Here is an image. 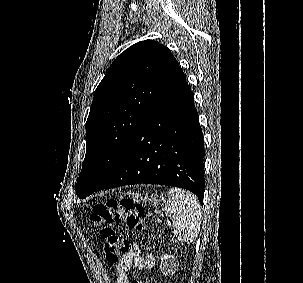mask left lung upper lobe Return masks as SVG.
I'll return each mask as SVG.
<instances>
[{
    "label": "left lung upper lobe",
    "mask_w": 303,
    "mask_h": 283,
    "mask_svg": "<svg viewBox=\"0 0 303 283\" xmlns=\"http://www.w3.org/2000/svg\"><path fill=\"white\" fill-rule=\"evenodd\" d=\"M175 60L154 40L135 43L114 60L95 90L86 122L77 195L110 178Z\"/></svg>",
    "instance_id": "5c2ea615"
}]
</instances>
